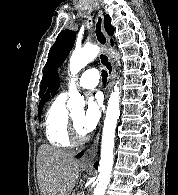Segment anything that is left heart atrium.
<instances>
[{
    "instance_id": "obj_1",
    "label": "left heart atrium",
    "mask_w": 178,
    "mask_h": 195,
    "mask_svg": "<svg viewBox=\"0 0 178 195\" xmlns=\"http://www.w3.org/2000/svg\"><path fill=\"white\" fill-rule=\"evenodd\" d=\"M100 116L101 103L97 98L91 97L87 102V108L80 123L81 130L85 135L95 129Z\"/></svg>"
}]
</instances>
